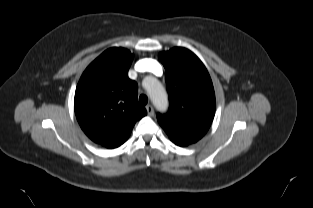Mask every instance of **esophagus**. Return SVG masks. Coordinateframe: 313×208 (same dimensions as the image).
<instances>
[{
  "mask_svg": "<svg viewBox=\"0 0 313 208\" xmlns=\"http://www.w3.org/2000/svg\"><path fill=\"white\" fill-rule=\"evenodd\" d=\"M146 110H147L149 116H153L154 115V109H153L152 105H147L146 106Z\"/></svg>",
  "mask_w": 313,
  "mask_h": 208,
  "instance_id": "1",
  "label": "esophagus"
}]
</instances>
